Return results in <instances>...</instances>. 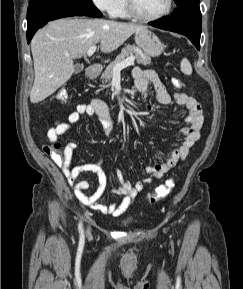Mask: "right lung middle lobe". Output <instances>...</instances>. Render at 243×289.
Masks as SVG:
<instances>
[{
	"label": "right lung middle lobe",
	"instance_id": "dd1d6c3e",
	"mask_svg": "<svg viewBox=\"0 0 243 289\" xmlns=\"http://www.w3.org/2000/svg\"><path fill=\"white\" fill-rule=\"evenodd\" d=\"M84 1H87V2H92V0H84Z\"/></svg>",
	"mask_w": 243,
	"mask_h": 289
}]
</instances>
